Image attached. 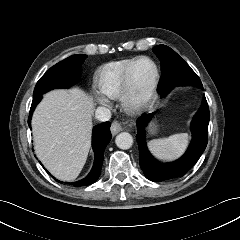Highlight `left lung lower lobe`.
<instances>
[{"label":"left lung lower lobe","instance_id":"left-lung-lower-lobe-1","mask_svg":"<svg viewBox=\"0 0 240 240\" xmlns=\"http://www.w3.org/2000/svg\"><path fill=\"white\" fill-rule=\"evenodd\" d=\"M154 117V113L142 115L137 120V141L139 145L140 167L146 178L153 182L183 177L198 161L208 142V124L210 112L205 96L191 123L193 139L186 153L171 163H159L150 154L146 146L144 129Z\"/></svg>","mask_w":240,"mask_h":240}]
</instances>
